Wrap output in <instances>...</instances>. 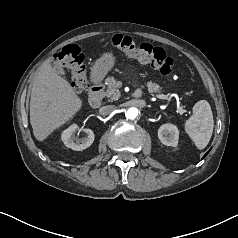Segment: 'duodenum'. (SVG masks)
I'll return each instance as SVG.
<instances>
[{
  "instance_id": "410a0bca",
  "label": "duodenum",
  "mask_w": 238,
  "mask_h": 238,
  "mask_svg": "<svg viewBox=\"0 0 238 238\" xmlns=\"http://www.w3.org/2000/svg\"><path fill=\"white\" fill-rule=\"evenodd\" d=\"M142 92L137 89L134 92L135 98H140ZM88 103L93 108H99L103 103V85L100 80L96 79L95 83L89 88L87 95Z\"/></svg>"
}]
</instances>
